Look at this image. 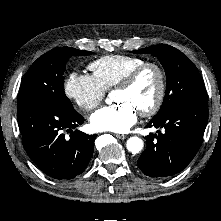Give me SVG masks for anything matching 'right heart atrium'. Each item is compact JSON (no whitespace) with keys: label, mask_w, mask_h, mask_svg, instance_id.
<instances>
[{"label":"right heart atrium","mask_w":221,"mask_h":221,"mask_svg":"<svg viewBox=\"0 0 221 221\" xmlns=\"http://www.w3.org/2000/svg\"><path fill=\"white\" fill-rule=\"evenodd\" d=\"M64 91L85 112L95 109L106 94V90L92 75L79 72H72L67 76Z\"/></svg>","instance_id":"1"}]
</instances>
